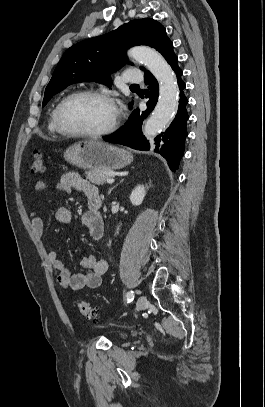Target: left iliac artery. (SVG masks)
Wrapping results in <instances>:
<instances>
[{"instance_id":"obj_1","label":"left iliac artery","mask_w":265,"mask_h":407,"mask_svg":"<svg viewBox=\"0 0 265 407\" xmlns=\"http://www.w3.org/2000/svg\"><path fill=\"white\" fill-rule=\"evenodd\" d=\"M126 299H127V302H128V303H130L131 301H133V299H134V292H133V291H129V292L127 293V295H126Z\"/></svg>"}]
</instances>
